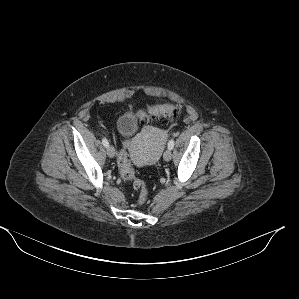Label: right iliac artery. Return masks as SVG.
Returning a JSON list of instances; mask_svg holds the SVG:
<instances>
[{
  "mask_svg": "<svg viewBox=\"0 0 299 299\" xmlns=\"http://www.w3.org/2000/svg\"><path fill=\"white\" fill-rule=\"evenodd\" d=\"M102 143H103V145H104L105 147H108V146H109V142H108V140H107L106 138H103V139H102Z\"/></svg>",
  "mask_w": 299,
  "mask_h": 299,
  "instance_id": "1",
  "label": "right iliac artery"
}]
</instances>
